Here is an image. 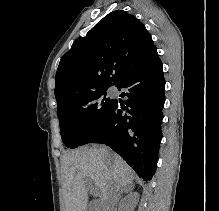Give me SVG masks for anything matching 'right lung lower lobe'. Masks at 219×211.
<instances>
[{"mask_svg":"<svg viewBox=\"0 0 219 211\" xmlns=\"http://www.w3.org/2000/svg\"><path fill=\"white\" fill-rule=\"evenodd\" d=\"M124 103H115L107 117L93 127L87 143L106 144L117 152L140 177L150 180L156 170L161 142L165 80L159 57L132 70L120 83Z\"/></svg>","mask_w":219,"mask_h":211,"instance_id":"obj_1","label":"right lung lower lobe"}]
</instances>
